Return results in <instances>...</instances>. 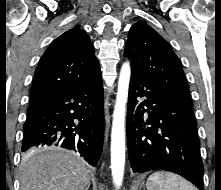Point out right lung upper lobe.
I'll use <instances>...</instances> for the list:
<instances>
[{
    "mask_svg": "<svg viewBox=\"0 0 221 190\" xmlns=\"http://www.w3.org/2000/svg\"><path fill=\"white\" fill-rule=\"evenodd\" d=\"M101 74L94 47L80 26L64 32L47 48L36 68L29 105Z\"/></svg>",
    "mask_w": 221,
    "mask_h": 190,
    "instance_id": "obj_1",
    "label": "right lung upper lobe"
}]
</instances>
